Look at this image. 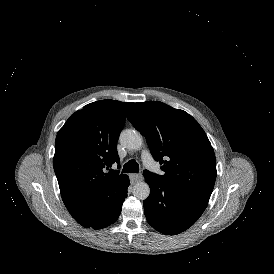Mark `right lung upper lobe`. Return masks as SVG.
Segmentation results:
<instances>
[{
    "label": "right lung upper lobe",
    "mask_w": 274,
    "mask_h": 274,
    "mask_svg": "<svg viewBox=\"0 0 274 274\" xmlns=\"http://www.w3.org/2000/svg\"><path fill=\"white\" fill-rule=\"evenodd\" d=\"M132 105L111 99L90 103L59 130L53 166L64 204L75 219L97 213L128 178L109 168L120 161L117 141Z\"/></svg>",
    "instance_id": "cb5924a9"
}]
</instances>
